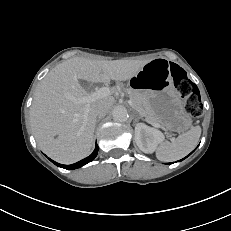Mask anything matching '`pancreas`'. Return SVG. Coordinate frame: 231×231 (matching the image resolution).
<instances>
[{"label": "pancreas", "instance_id": "obj_1", "mask_svg": "<svg viewBox=\"0 0 231 231\" xmlns=\"http://www.w3.org/2000/svg\"><path fill=\"white\" fill-rule=\"evenodd\" d=\"M117 88L127 91L134 107L147 122L159 123L156 113L151 108L148 100L142 94L132 89H125L122 85H118Z\"/></svg>", "mask_w": 231, "mask_h": 231}]
</instances>
